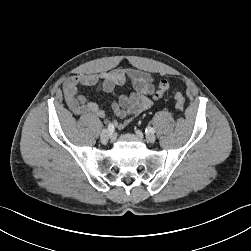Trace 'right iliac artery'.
I'll return each mask as SVG.
<instances>
[{
	"label": "right iliac artery",
	"mask_w": 251,
	"mask_h": 251,
	"mask_svg": "<svg viewBox=\"0 0 251 251\" xmlns=\"http://www.w3.org/2000/svg\"><path fill=\"white\" fill-rule=\"evenodd\" d=\"M108 130H109L110 132H113V131H114V125H113L112 123H110V124L108 125Z\"/></svg>",
	"instance_id": "82829eb1"
}]
</instances>
